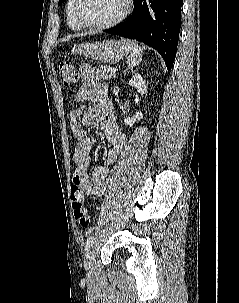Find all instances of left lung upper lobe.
Here are the masks:
<instances>
[{"label":"left lung upper lobe","mask_w":239,"mask_h":303,"mask_svg":"<svg viewBox=\"0 0 239 303\" xmlns=\"http://www.w3.org/2000/svg\"><path fill=\"white\" fill-rule=\"evenodd\" d=\"M65 0H59L58 5L62 4Z\"/></svg>","instance_id":"obj_1"}]
</instances>
